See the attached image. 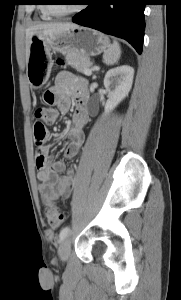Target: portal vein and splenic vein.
Returning a JSON list of instances; mask_svg holds the SVG:
<instances>
[{
  "label": "portal vein and splenic vein",
  "instance_id": "portal-vein-and-splenic-vein-1",
  "mask_svg": "<svg viewBox=\"0 0 181 300\" xmlns=\"http://www.w3.org/2000/svg\"><path fill=\"white\" fill-rule=\"evenodd\" d=\"M84 74L87 75V76H90V75H92V71L90 69H86L84 71Z\"/></svg>",
  "mask_w": 181,
  "mask_h": 300
}]
</instances>
